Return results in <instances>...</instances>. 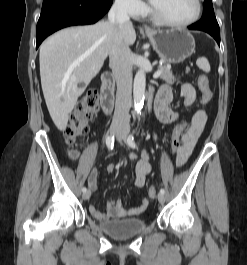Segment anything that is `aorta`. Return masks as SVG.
Returning a JSON list of instances; mask_svg holds the SVG:
<instances>
[{
    "instance_id": "aorta-1",
    "label": "aorta",
    "mask_w": 247,
    "mask_h": 265,
    "mask_svg": "<svg viewBox=\"0 0 247 265\" xmlns=\"http://www.w3.org/2000/svg\"><path fill=\"white\" fill-rule=\"evenodd\" d=\"M145 86L146 73L143 69H139L135 75L133 84L134 106L137 114L144 104Z\"/></svg>"
}]
</instances>
